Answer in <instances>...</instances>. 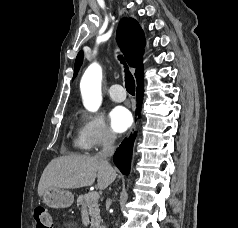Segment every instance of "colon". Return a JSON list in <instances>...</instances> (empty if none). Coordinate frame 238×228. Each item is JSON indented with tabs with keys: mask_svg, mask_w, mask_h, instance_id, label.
Masks as SVG:
<instances>
[{
	"mask_svg": "<svg viewBox=\"0 0 238 228\" xmlns=\"http://www.w3.org/2000/svg\"><path fill=\"white\" fill-rule=\"evenodd\" d=\"M36 228H53V217L47 207L38 206L34 211Z\"/></svg>",
	"mask_w": 238,
	"mask_h": 228,
	"instance_id": "colon-1",
	"label": "colon"
}]
</instances>
